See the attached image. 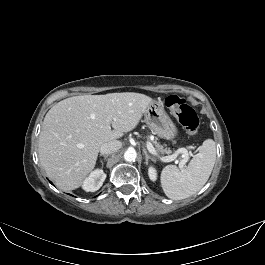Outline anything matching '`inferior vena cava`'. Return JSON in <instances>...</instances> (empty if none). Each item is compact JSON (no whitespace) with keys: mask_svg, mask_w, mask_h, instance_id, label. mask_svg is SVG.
<instances>
[{"mask_svg":"<svg viewBox=\"0 0 265 265\" xmlns=\"http://www.w3.org/2000/svg\"><path fill=\"white\" fill-rule=\"evenodd\" d=\"M121 148V142L114 140L107 143H104L100 148V153L102 155L111 154L116 152Z\"/></svg>","mask_w":265,"mask_h":265,"instance_id":"1","label":"inferior vena cava"}]
</instances>
